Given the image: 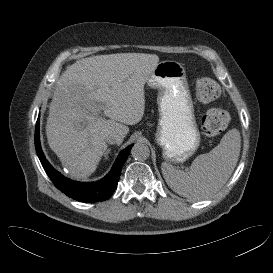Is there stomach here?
<instances>
[{"label":"stomach","mask_w":273,"mask_h":273,"mask_svg":"<svg viewBox=\"0 0 273 273\" xmlns=\"http://www.w3.org/2000/svg\"><path fill=\"white\" fill-rule=\"evenodd\" d=\"M147 85L158 90L159 123L156 142L167 162L182 163L192 156L200 144L184 66L174 60L157 64Z\"/></svg>","instance_id":"0dacf381"}]
</instances>
